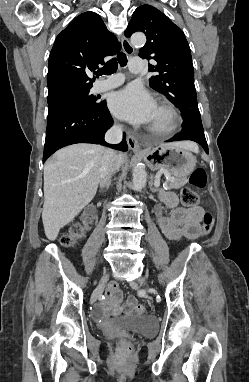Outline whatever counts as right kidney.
Instances as JSON below:
<instances>
[{
    "label": "right kidney",
    "mask_w": 249,
    "mask_h": 382,
    "mask_svg": "<svg viewBox=\"0 0 249 382\" xmlns=\"http://www.w3.org/2000/svg\"><path fill=\"white\" fill-rule=\"evenodd\" d=\"M97 204H88V207L83 212V215L81 217L82 224H84V228L86 230H91L92 227L95 226V218L93 214L95 215L97 213Z\"/></svg>",
    "instance_id": "1"
}]
</instances>
